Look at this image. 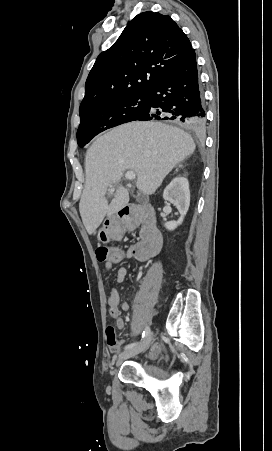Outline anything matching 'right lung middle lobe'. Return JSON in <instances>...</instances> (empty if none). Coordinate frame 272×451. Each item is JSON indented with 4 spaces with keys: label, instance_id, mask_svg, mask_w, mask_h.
I'll list each match as a JSON object with an SVG mask.
<instances>
[{
    "label": "right lung middle lobe",
    "instance_id": "right-lung-middle-lobe-1",
    "mask_svg": "<svg viewBox=\"0 0 272 451\" xmlns=\"http://www.w3.org/2000/svg\"><path fill=\"white\" fill-rule=\"evenodd\" d=\"M149 109V95L139 94L106 101L80 113L77 143L84 147L99 133L137 120Z\"/></svg>",
    "mask_w": 272,
    "mask_h": 451
}]
</instances>
